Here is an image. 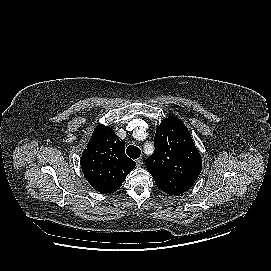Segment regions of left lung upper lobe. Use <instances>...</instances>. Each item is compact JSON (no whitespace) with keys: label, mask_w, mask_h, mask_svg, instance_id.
I'll return each instance as SVG.
<instances>
[{"label":"left lung upper lobe","mask_w":271,"mask_h":271,"mask_svg":"<svg viewBox=\"0 0 271 271\" xmlns=\"http://www.w3.org/2000/svg\"><path fill=\"white\" fill-rule=\"evenodd\" d=\"M154 143L155 152L145 163L156 185L170 195L178 194V181L193 185L201 172L202 159L183 122L166 118L156 130Z\"/></svg>","instance_id":"5c2ea615"}]
</instances>
